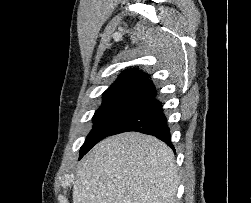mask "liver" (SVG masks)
<instances>
[{"label": "liver", "instance_id": "1", "mask_svg": "<svg viewBox=\"0 0 251 203\" xmlns=\"http://www.w3.org/2000/svg\"><path fill=\"white\" fill-rule=\"evenodd\" d=\"M179 176L172 150L153 136L108 137L76 168L73 203H176Z\"/></svg>", "mask_w": 251, "mask_h": 203}]
</instances>
